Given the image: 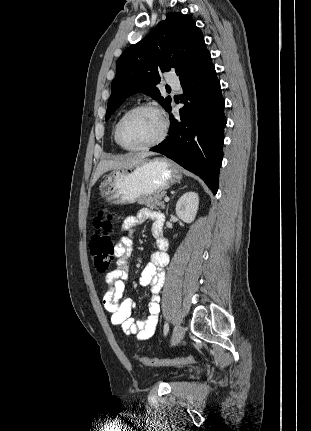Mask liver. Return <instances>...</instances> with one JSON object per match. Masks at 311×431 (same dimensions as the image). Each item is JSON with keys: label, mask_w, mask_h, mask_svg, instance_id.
<instances>
[{"label": "liver", "mask_w": 311, "mask_h": 431, "mask_svg": "<svg viewBox=\"0 0 311 431\" xmlns=\"http://www.w3.org/2000/svg\"><path fill=\"white\" fill-rule=\"evenodd\" d=\"M155 156L153 152H139V154H126L121 156L120 160H101L99 162L96 172L93 176L92 184H96L99 178L109 172V170H122V168H136L143 162H146L147 158Z\"/></svg>", "instance_id": "6515ba94"}]
</instances>
